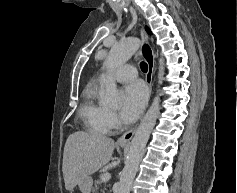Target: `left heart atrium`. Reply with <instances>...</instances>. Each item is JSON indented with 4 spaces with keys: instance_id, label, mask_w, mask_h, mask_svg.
Instances as JSON below:
<instances>
[{
    "instance_id": "39dd6f15",
    "label": "left heart atrium",
    "mask_w": 237,
    "mask_h": 193,
    "mask_svg": "<svg viewBox=\"0 0 237 193\" xmlns=\"http://www.w3.org/2000/svg\"><path fill=\"white\" fill-rule=\"evenodd\" d=\"M148 98L146 86L136 81L124 88L121 107L122 119L126 122L134 121L144 109Z\"/></svg>"
}]
</instances>
